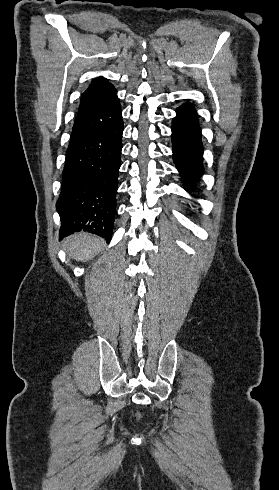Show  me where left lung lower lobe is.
Here are the masks:
<instances>
[{
    "label": "left lung lower lobe",
    "instance_id": "0a47b994",
    "mask_svg": "<svg viewBox=\"0 0 279 490\" xmlns=\"http://www.w3.org/2000/svg\"><path fill=\"white\" fill-rule=\"evenodd\" d=\"M172 125L173 160L184 179L186 188L192 190L203 172V146L201 129L193 105L179 107Z\"/></svg>",
    "mask_w": 279,
    "mask_h": 490
}]
</instances>
